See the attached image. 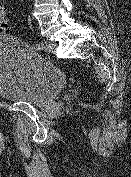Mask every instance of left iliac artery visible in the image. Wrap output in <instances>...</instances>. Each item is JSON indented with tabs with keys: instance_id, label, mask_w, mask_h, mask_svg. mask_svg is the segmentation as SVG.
<instances>
[{
	"instance_id": "1",
	"label": "left iliac artery",
	"mask_w": 131,
	"mask_h": 177,
	"mask_svg": "<svg viewBox=\"0 0 131 177\" xmlns=\"http://www.w3.org/2000/svg\"><path fill=\"white\" fill-rule=\"evenodd\" d=\"M44 43H42V42H39L38 44H37V49L38 50H43L44 49Z\"/></svg>"
}]
</instances>
